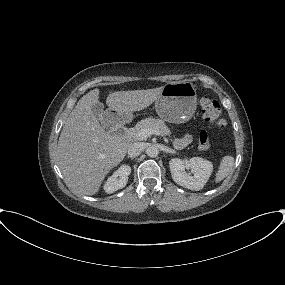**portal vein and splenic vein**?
I'll return each instance as SVG.
<instances>
[{
  "label": "portal vein and splenic vein",
  "instance_id": "portal-vein-and-splenic-vein-1",
  "mask_svg": "<svg viewBox=\"0 0 285 285\" xmlns=\"http://www.w3.org/2000/svg\"><path fill=\"white\" fill-rule=\"evenodd\" d=\"M151 135L160 136L162 134L160 133L159 130L151 128H143L137 133V137L141 138L142 140L150 137Z\"/></svg>",
  "mask_w": 285,
  "mask_h": 285
}]
</instances>
